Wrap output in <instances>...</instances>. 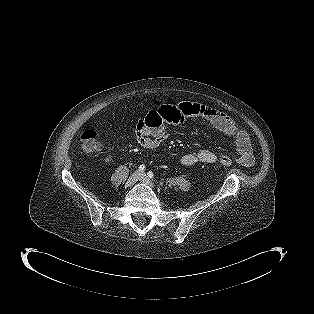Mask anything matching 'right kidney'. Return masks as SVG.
<instances>
[{"instance_id":"1","label":"right kidney","mask_w":314,"mask_h":314,"mask_svg":"<svg viewBox=\"0 0 314 314\" xmlns=\"http://www.w3.org/2000/svg\"><path fill=\"white\" fill-rule=\"evenodd\" d=\"M111 160H112V156L111 155H108L106 158H105V162L106 163H109V162H111Z\"/></svg>"}]
</instances>
